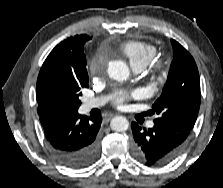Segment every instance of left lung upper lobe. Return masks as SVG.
<instances>
[{
  "instance_id": "left-lung-upper-lobe-1",
  "label": "left lung upper lobe",
  "mask_w": 223,
  "mask_h": 188,
  "mask_svg": "<svg viewBox=\"0 0 223 188\" xmlns=\"http://www.w3.org/2000/svg\"><path fill=\"white\" fill-rule=\"evenodd\" d=\"M174 59L161 96L153 104L162 126L179 142H184L194 127L200 107V78L190 53L177 41L171 40Z\"/></svg>"
}]
</instances>
